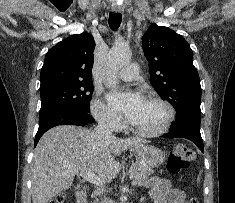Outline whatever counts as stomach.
<instances>
[{"label": "stomach", "mask_w": 235, "mask_h": 203, "mask_svg": "<svg viewBox=\"0 0 235 203\" xmlns=\"http://www.w3.org/2000/svg\"><path fill=\"white\" fill-rule=\"evenodd\" d=\"M138 163L142 166L153 168L164 162L165 153L152 145H142L132 149Z\"/></svg>", "instance_id": "1"}]
</instances>
